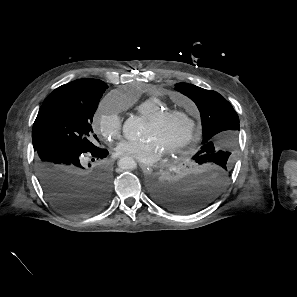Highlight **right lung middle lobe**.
<instances>
[{"mask_svg": "<svg viewBox=\"0 0 297 297\" xmlns=\"http://www.w3.org/2000/svg\"><path fill=\"white\" fill-rule=\"evenodd\" d=\"M108 88L68 86L55 89L43 102L33 125L34 150L52 143L67 144L82 151L98 147L91 127L100 98Z\"/></svg>", "mask_w": 297, "mask_h": 297, "instance_id": "dd1d6c3e", "label": "right lung middle lobe"}]
</instances>
